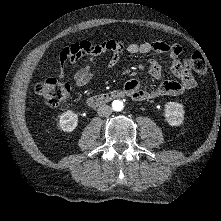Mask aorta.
Listing matches in <instances>:
<instances>
[{"label":"aorta","instance_id":"aorta-1","mask_svg":"<svg viewBox=\"0 0 221 221\" xmlns=\"http://www.w3.org/2000/svg\"><path fill=\"white\" fill-rule=\"evenodd\" d=\"M112 107L115 111H121L123 109V102L120 100H114Z\"/></svg>","mask_w":221,"mask_h":221}]
</instances>
